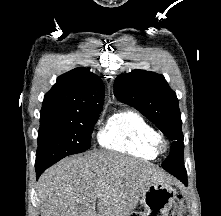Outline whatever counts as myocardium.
<instances>
[{
  "mask_svg": "<svg viewBox=\"0 0 221 216\" xmlns=\"http://www.w3.org/2000/svg\"><path fill=\"white\" fill-rule=\"evenodd\" d=\"M152 146L157 153H164L169 148V142L163 135L156 133L152 139Z\"/></svg>",
  "mask_w": 221,
  "mask_h": 216,
  "instance_id": "f54148a6",
  "label": "myocardium"
}]
</instances>
